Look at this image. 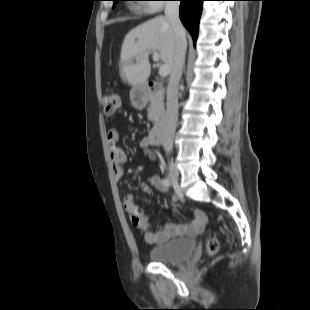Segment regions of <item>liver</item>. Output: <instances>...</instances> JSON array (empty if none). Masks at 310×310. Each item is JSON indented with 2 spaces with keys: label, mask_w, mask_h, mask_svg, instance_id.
<instances>
[{
  "label": "liver",
  "mask_w": 310,
  "mask_h": 310,
  "mask_svg": "<svg viewBox=\"0 0 310 310\" xmlns=\"http://www.w3.org/2000/svg\"><path fill=\"white\" fill-rule=\"evenodd\" d=\"M175 36L170 21L155 17L132 29L124 38L121 48V77L130 85H143L150 76L149 53L157 51L169 72L173 65ZM136 57V63L133 58Z\"/></svg>",
  "instance_id": "liver-1"
}]
</instances>
